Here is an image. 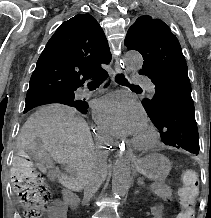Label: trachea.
<instances>
[{
  "label": "trachea",
  "mask_w": 211,
  "mask_h": 218,
  "mask_svg": "<svg viewBox=\"0 0 211 218\" xmlns=\"http://www.w3.org/2000/svg\"><path fill=\"white\" fill-rule=\"evenodd\" d=\"M115 81L117 83H119V85L128 86L130 88H140L138 85H130L128 80L124 77V75L122 73H117V75L115 76ZM89 83L99 84L101 82L100 81H92V82H89Z\"/></svg>",
  "instance_id": "obj_1"
}]
</instances>
